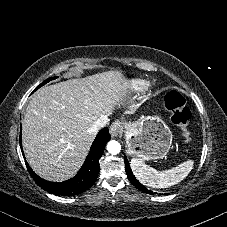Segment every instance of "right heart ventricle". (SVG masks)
<instances>
[{"label": "right heart ventricle", "instance_id": "e07e8e85", "mask_svg": "<svg viewBox=\"0 0 227 227\" xmlns=\"http://www.w3.org/2000/svg\"><path fill=\"white\" fill-rule=\"evenodd\" d=\"M140 86V82L139 81H134L132 84H131V88L136 90L138 89Z\"/></svg>", "mask_w": 227, "mask_h": 227}]
</instances>
